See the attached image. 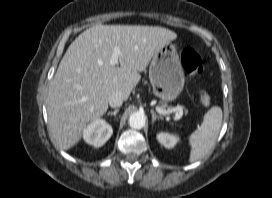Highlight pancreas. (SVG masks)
Segmentation results:
<instances>
[{
  "mask_svg": "<svg viewBox=\"0 0 272 198\" xmlns=\"http://www.w3.org/2000/svg\"><path fill=\"white\" fill-rule=\"evenodd\" d=\"M177 107H181V110H180V111H175V113H178V114L183 113L184 107H182V106H177ZM161 108H162V109H166V108H167V110H171V109H173V108H175V107H167L166 104H163V105L161 106ZM185 112H186V110H185Z\"/></svg>",
  "mask_w": 272,
  "mask_h": 198,
  "instance_id": "pancreas-1",
  "label": "pancreas"
}]
</instances>
